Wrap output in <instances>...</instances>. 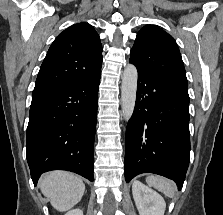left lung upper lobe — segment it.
Instances as JSON below:
<instances>
[{"instance_id":"obj_1","label":"left lung upper lobe","mask_w":223,"mask_h":215,"mask_svg":"<svg viewBox=\"0 0 223 215\" xmlns=\"http://www.w3.org/2000/svg\"><path fill=\"white\" fill-rule=\"evenodd\" d=\"M130 55V63L136 66L138 73L188 91L186 72L177 43L161 28L144 26L137 34Z\"/></svg>"}]
</instances>
